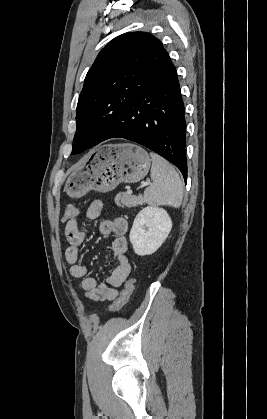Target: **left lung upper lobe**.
Segmentation results:
<instances>
[{"instance_id":"1","label":"left lung upper lobe","mask_w":267,"mask_h":419,"mask_svg":"<svg viewBox=\"0 0 267 419\" xmlns=\"http://www.w3.org/2000/svg\"><path fill=\"white\" fill-rule=\"evenodd\" d=\"M167 56L161 41L147 32L122 34L101 50L79 96L72 154L91 148L101 125L122 116Z\"/></svg>"}]
</instances>
